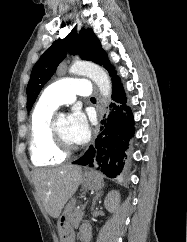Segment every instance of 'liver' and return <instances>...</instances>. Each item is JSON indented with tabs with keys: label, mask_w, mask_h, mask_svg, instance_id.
Listing matches in <instances>:
<instances>
[{
	"label": "liver",
	"mask_w": 187,
	"mask_h": 242,
	"mask_svg": "<svg viewBox=\"0 0 187 242\" xmlns=\"http://www.w3.org/2000/svg\"><path fill=\"white\" fill-rule=\"evenodd\" d=\"M81 177L82 168L78 165L37 169L33 172L35 189L51 217L56 219L60 216L66 202L78 189Z\"/></svg>",
	"instance_id": "obj_1"
}]
</instances>
